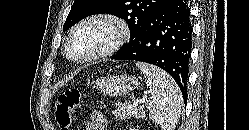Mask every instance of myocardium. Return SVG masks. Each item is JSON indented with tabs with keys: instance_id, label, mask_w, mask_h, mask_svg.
I'll return each mask as SVG.
<instances>
[{
	"instance_id": "myocardium-1",
	"label": "myocardium",
	"mask_w": 249,
	"mask_h": 130,
	"mask_svg": "<svg viewBox=\"0 0 249 130\" xmlns=\"http://www.w3.org/2000/svg\"><path fill=\"white\" fill-rule=\"evenodd\" d=\"M96 22H105L113 25L116 29V36L114 40L107 45L105 48L96 51L88 56L82 57V58H75L72 57L69 53V44L72 39V37L75 35L76 32H78L83 27ZM130 37V28L127 24V22L115 15L111 14H93L90 16H87L80 20L69 32L66 41L64 43V54L65 56L76 63H87L92 62L95 60H99L108 56H111L114 54L117 50H119L129 39Z\"/></svg>"
}]
</instances>
